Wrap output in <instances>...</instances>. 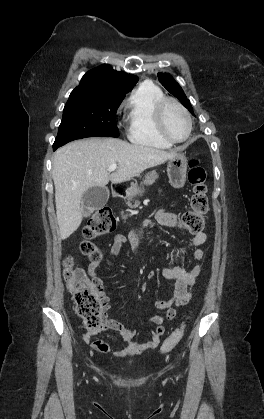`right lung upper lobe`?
Here are the masks:
<instances>
[{
    "label": "right lung upper lobe",
    "instance_id": "obj_1",
    "mask_svg": "<svg viewBox=\"0 0 264 419\" xmlns=\"http://www.w3.org/2000/svg\"><path fill=\"white\" fill-rule=\"evenodd\" d=\"M137 81V76L115 71L104 64L88 71L75 89L125 96Z\"/></svg>",
    "mask_w": 264,
    "mask_h": 419
}]
</instances>
